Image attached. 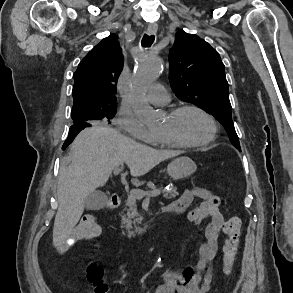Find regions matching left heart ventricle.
I'll use <instances>...</instances> for the list:
<instances>
[{
  "mask_svg": "<svg viewBox=\"0 0 293 293\" xmlns=\"http://www.w3.org/2000/svg\"><path fill=\"white\" fill-rule=\"evenodd\" d=\"M158 133L172 135L182 141L195 143L208 137L210 125L201 114L195 111H186L175 118L166 116Z\"/></svg>",
  "mask_w": 293,
  "mask_h": 293,
  "instance_id": "b2bd125f",
  "label": "left heart ventricle"
}]
</instances>
